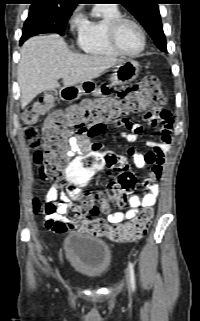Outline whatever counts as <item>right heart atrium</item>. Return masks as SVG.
<instances>
[{"instance_id": "obj_1", "label": "right heart atrium", "mask_w": 200, "mask_h": 321, "mask_svg": "<svg viewBox=\"0 0 200 321\" xmlns=\"http://www.w3.org/2000/svg\"><path fill=\"white\" fill-rule=\"evenodd\" d=\"M85 24V18L79 9H76L69 19V26L72 31H80Z\"/></svg>"}]
</instances>
